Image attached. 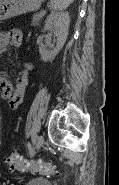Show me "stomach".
Segmentation results:
<instances>
[{
    "label": "stomach",
    "mask_w": 119,
    "mask_h": 185,
    "mask_svg": "<svg viewBox=\"0 0 119 185\" xmlns=\"http://www.w3.org/2000/svg\"><path fill=\"white\" fill-rule=\"evenodd\" d=\"M44 0H0V20L39 9Z\"/></svg>",
    "instance_id": "stomach-1"
}]
</instances>
